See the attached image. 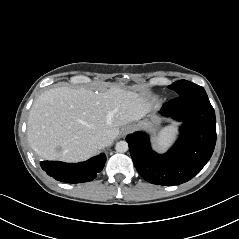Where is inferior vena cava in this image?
Instances as JSON below:
<instances>
[{
	"label": "inferior vena cava",
	"mask_w": 239,
	"mask_h": 239,
	"mask_svg": "<svg viewBox=\"0 0 239 239\" xmlns=\"http://www.w3.org/2000/svg\"><path fill=\"white\" fill-rule=\"evenodd\" d=\"M112 142L110 139L108 138H102L101 141L99 142V147L100 148H103V147H106L108 145H110Z\"/></svg>",
	"instance_id": "1"
}]
</instances>
